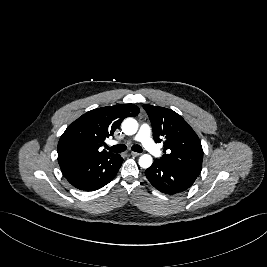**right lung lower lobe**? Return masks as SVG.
Here are the masks:
<instances>
[{
	"label": "right lung lower lobe",
	"instance_id": "1",
	"mask_svg": "<svg viewBox=\"0 0 267 267\" xmlns=\"http://www.w3.org/2000/svg\"><path fill=\"white\" fill-rule=\"evenodd\" d=\"M122 162L123 158L119 154H113L64 165L61 171L75 188L95 191L116 176Z\"/></svg>",
	"mask_w": 267,
	"mask_h": 267
}]
</instances>
